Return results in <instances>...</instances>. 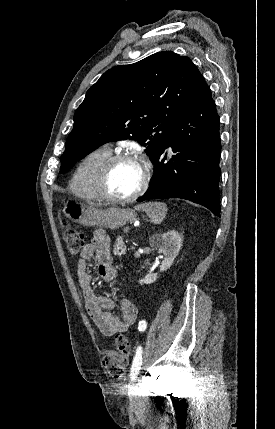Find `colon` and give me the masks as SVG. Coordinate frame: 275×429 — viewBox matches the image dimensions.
Wrapping results in <instances>:
<instances>
[{"label": "colon", "mask_w": 275, "mask_h": 429, "mask_svg": "<svg viewBox=\"0 0 275 429\" xmlns=\"http://www.w3.org/2000/svg\"><path fill=\"white\" fill-rule=\"evenodd\" d=\"M64 240L70 255H77L84 247V236L75 229L67 228L64 232ZM114 343L116 350L106 351L102 357V364L109 376L118 378L123 374L128 363L130 344L121 334L115 336Z\"/></svg>", "instance_id": "5ec220e1"}]
</instances>
